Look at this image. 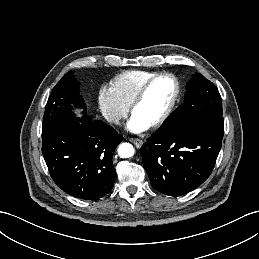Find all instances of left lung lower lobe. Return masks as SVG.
I'll return each instance as SVG.
<instances>
[{
    "label": "left lung lower lobe",
    "instance_id": "obj_1",
    "mask_svg": "<svg viewBox=\"0 0 259 259\" xmlns=\"http://www.w3.org/2000/svg\"><path fill=\"white\" fill-rule=\"evenodd\" d=\"M223 134V117L209 115L169 134L156 131L140 149L152 187L170 196L197 188L214 168Z\"/></svg>",
    "mask_w": 259,
    "mask_h": 259
}]
</instances>
